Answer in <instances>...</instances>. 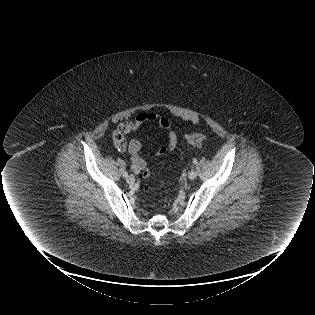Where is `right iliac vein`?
Returning a JSON list of instances; mask_svg holds the SVG:
<instances>
[{
	"mask_svg": "<svg viewBox=\"0 0 315 315\" xmlns=\"http://www.w3.org/2000/svg\"><path fill=\"white\" fill-rule=\"evenodd\" d=\"M127 182H128L129 184H134V182H135V177H134L133 175H129V176L127 177Z\"/></svg>",
	"mask_w": 315,
	"mask_h": 315,
	"instance_id": "obj_1",
	"label": "right iliac vein"
}]
</instances>
